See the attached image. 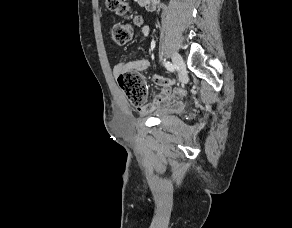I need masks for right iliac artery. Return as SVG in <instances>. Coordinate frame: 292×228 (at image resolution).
<instances>
[{
  "instance_id": "right-iliac-artery-1",
  "label": "right iliac artery",
  "mask_w": 292,
  "mask_h": 228,
  "mask_svg": "<svg viewBox=\"0 0 292 228\" xmlns=\"http://www.w3.org/2000/svg\"><path fill=\"white\" fill-rule=\"evenodd\" d=\"M164 66L166 67L167 70L174 72L175 71V66L170 63L169 61L164 62Z\"/></svg>"
}]
</instances>
